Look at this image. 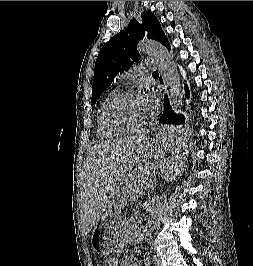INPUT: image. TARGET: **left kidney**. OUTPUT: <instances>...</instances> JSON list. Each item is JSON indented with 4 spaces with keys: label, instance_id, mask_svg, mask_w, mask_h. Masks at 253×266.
Listing matches in <instances>:
<instances>
[{
    "label": "left kidney",
    "instance_id": "left-kidney-1",
    "mask_svg": "<svg viewBox=\"0 0 253 266\" xmlns=\"http://www.w3.org/2000/svg\"><path fill=\"white\" fill-rule=\"evenodd\" d=\"M144 234L138 228L133 218L125 219L123 222L122 238L124 242L136 243L143 238Z\"/></svg>",
    "mask_w": 253,
    "mask_h": 266
}]
</instances>
